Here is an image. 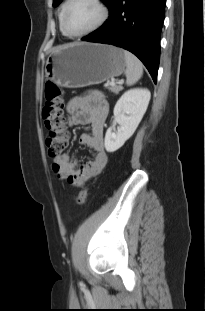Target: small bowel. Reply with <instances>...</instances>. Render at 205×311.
I'll return each instance as SVG.
<instances>
[{
    "mask_svg": "<svg viewBox=\"0 0 205 311\" xmlns=\"http://www.w3.org/2000/svg\"><path fill=\"white\" fill-rule=\"evenodd\" d=\"M108 104L101 93L94 91L87 95L72 97L67 105V124L73 126H90V131L83 133L79 143L89 147L94 155L92 159L77 167L67 153L55 157L52 170L67 183L80 186L97 176L108 162V153L104 148L103 136Z\"/></svg>",
    "mask_w": 205,
    "mask_h": 311,
    "instance_id": "1",
    "label": "small bowel"
}]
</instances>
